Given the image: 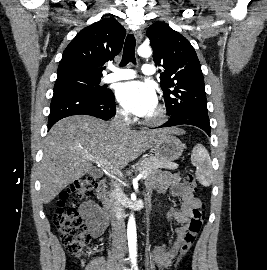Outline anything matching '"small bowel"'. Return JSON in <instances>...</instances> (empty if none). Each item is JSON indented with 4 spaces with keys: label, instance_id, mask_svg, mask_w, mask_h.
Returning a JSON list of instances; mask_svg holds the SVG:
<instances>
[{
    "label": "small bowel",
    "instance_id": "obj_1",
    "mask_svg": "<svg viewBox=\"0 0 267 270\" xmlns=\"http://www.w3.org/2000/svg\"><path fill=\"white\" fill-rule=\"evenodd\" d=\"M146 198L150 200L154 193L169 194L180 199L179 206L171 207L166 217L174 220L178 226L174 229L175 239L172 243H162L156 246L152 253V260L160 267H168L180 250L187 231L188 222L201 202L195 197L193 190L180 181L177 173L163 172L150 177L146 183ZM80 214L86 221L88 231L92 237H100L108 228V219L104 210L93 202H87L80 207Z\"/></svg>",
    "mask_w": 267,
    "mask_h": 270
}]
</instances>
